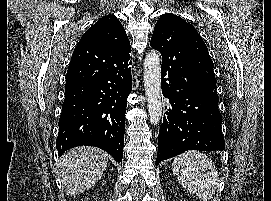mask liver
Masks as SVG:
<instances>
[{
  "label": "liver",
  "instance_id": "1",
  "mask_svg": "<svg viewBox=\"0 0 271 201\" xmlns=\"http://www.w3.org/2000/svg\"><path fill=\"white\" fill-rule=\"evenodd\" d=\"M108 164L105 152L93 147L69 150L60 162L66 194L75 196L90 189L102 176Z\"/></svg>",
  "mask_w": 271,
  "mask_h": 201
}]
</instances>
